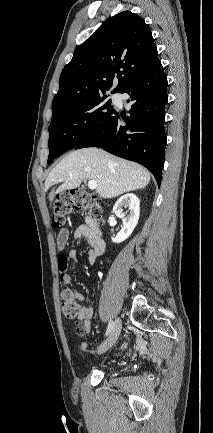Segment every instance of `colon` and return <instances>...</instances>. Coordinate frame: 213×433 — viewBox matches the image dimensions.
<instances>
[{"label": "colon", "instance_id": "5ec220e1", "mask_svg": "<svg viewBox=\"0 0 213 433\" xmlns=\"http://www.w3.org/2000/svg\"><path fill=\"white\" fill-rule=\"evenodd\" d=\"M85 211L92 219L97 222L102 221V206L100 198L84 189H74L62 193L54 203L52 223L55 228H63L74 211ZM60 269L67 268L68 260L66 255H61L58 259ZM62 281L66 285L61 293V309L64 316L70 320L78 318L80 305L77 301V292L69 286L67 276H62ZM79 326L76 330L79 332Z\"/></svg>", "mask_w": 213, "mask_h": 433}]
</instances>
